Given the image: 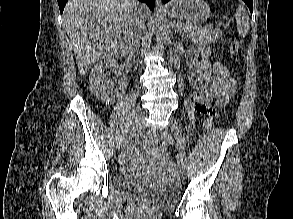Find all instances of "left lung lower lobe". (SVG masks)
I'll return each mask as SVG.
<instances>
[{
	"mask_svg": "<svg viewBox=\"0 0 293 219\" xmlns=\"http://www.w3.org/2000/svg\"><path fill=\"white\" fill-rule=\"evenodd\" d=\"M163 3H167L169 0H162ZM249 7L250 12H253V0H243Z\"/></svg>",
	"mask_w": 293,
	"mask_h": 219,
	"instance_id": "left-lung-lower-lobe-1",
	"label": "left lung lower lobe"
}]
</instances>
